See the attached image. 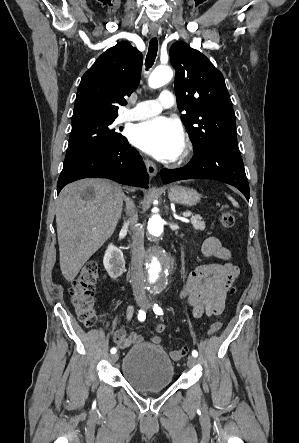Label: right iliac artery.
I'll return each instance as SVG.
<instances>
[{"mask_svg": "<svg viewBox=\"0 0 299 443\" xmlns=\"http://www.w3.org/2000/svg\"><path fill=\"white\" fill-rule=\"evenodd\" d=\"M145 318H146V313H145V311L144 310H139V313H138V320L139 321H144L145 320ZM116 348H112L111 350H110V352L112 353V354H114V353H116Z\"/></svg>", "mask_w": 299, "mask_h": 443, "instance_id": "obj_1", "label": "right iliac artery"}]
</instances>
